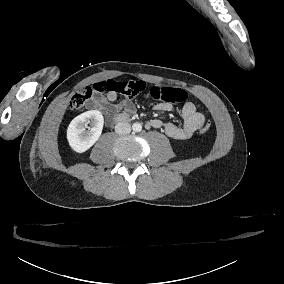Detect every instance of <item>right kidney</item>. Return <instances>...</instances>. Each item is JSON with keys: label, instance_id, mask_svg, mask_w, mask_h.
<instances>
[{"label": "right kidney", "instance_id": "obj_1", "mask_svg": "<svg viewBox=\"0 0 284 284\" xmlns=\"http://www.w3.org/2000/svg\"><path fill=\"white\" fill-rule=\"evenodd\" d=\"M93 127L85 130V123ZM104 126V117L97 110H90L75 117L67 128V141L70 148L76 153H84L100 138Z\"/></svg>", "mask_w": 284, "mask_h": 284}]
</instances>
